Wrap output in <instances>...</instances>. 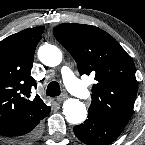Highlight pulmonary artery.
I'll use <instances>...</instances> for the list:
<instances>
[{
  "label": "pulmonary artery",
  "instance_id": "pulmonary-artery-1",
  "mask_svg": "<svg viewBox=\"0 0 145 145\" xmlns=\"http://www.w3.org/2000/svg\"><path fill=\"white\" fill-rule=\"evenodd\" d=\"M61 73L67 87L75 96L83 100L89 97L88 89L74 76L70 69L64 67Z\"/></svg>",
  "mask_w": 145,
  "mask_h": 145
}]
</instances>
